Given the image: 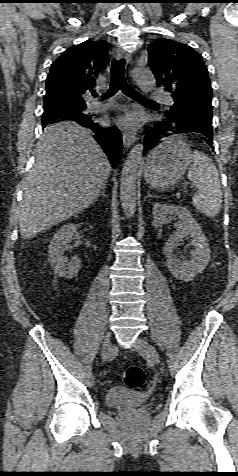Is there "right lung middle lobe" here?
Masks as SVG:
<instances>
[{"label": "right lung middle lobe", "instance_id": "obj_1", "mask_svg": "<svg viewBox=\"0 0 238 476\" xmlns=\"http://www.w3.org/2000/svg\"><path fill=\"white\" fill-rule=\"evenodd\" d=\"M86 105H73L55 102H44L43 124L59 120H87L93 115L85 111Z\"/></svg>", "mask_w": 238, "mask_h": 476}]
</instances>
